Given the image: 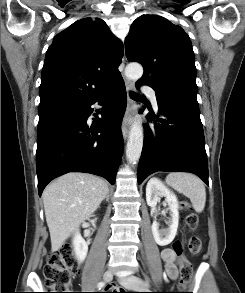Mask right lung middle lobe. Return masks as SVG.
I'll use <instances>...</instances> for the list:
<instances>
[{
  "instance_id": "1",
  "label": "right lung middle lobe",
  "mask_w": 245,
  "mask_h": 293,
  "mask_svg": "<svg viewBox=\"0 0 245 293\" xmlns=\"http://www.w3.org/2000/svg\"><path fill=\"white\" fill-rule=\"evenodd\" d=\"M74 105H56L45 108H39V123L38 125L44 124L50 119L61 115L72 108Z\"/></svg>"
}]
</instances>
